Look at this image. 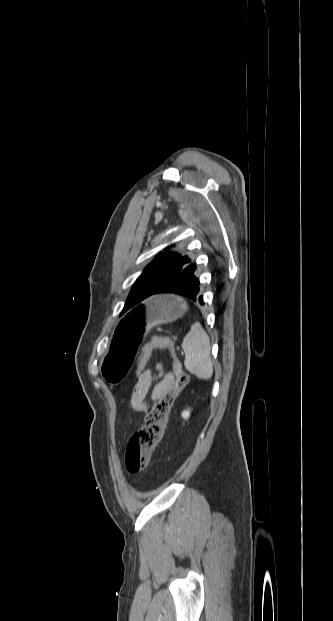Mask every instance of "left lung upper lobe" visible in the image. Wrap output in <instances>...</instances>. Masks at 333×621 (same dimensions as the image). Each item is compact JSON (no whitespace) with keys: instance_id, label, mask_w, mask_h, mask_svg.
Masks as SVG:
<instances>
[{"instance_id":"5c2ea615","label":"left lung upper lobe","mask_w":333,"mask_h":621,"mask_svg":"<svg viewBox=\"0 0 333 621\" xmlns=\"http://www.w3.org/2000/svg\"><path fill=\"white\" fill-rule=\"evenodd\" d=\"M195 268L196 265L187 256L173 252L158 255L135 281L121 314L137 307L171 279Z\"/></svg>"}]
</instances>
